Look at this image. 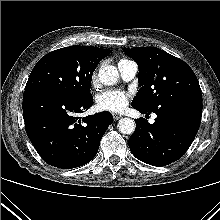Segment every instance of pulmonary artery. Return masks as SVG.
<instances>
[{"label": "pulmonary artery", "mask_w": 220, "mask_h": 220, "mask_svg": "<svg viewBox=\"0 0 220 220\" xmlns=\"http://www.w3.org/2000/svg\"><path fill=\"white\" fill-rule=\"evenodd\" d=\"M118 70L123 80H132L138 72V66L134 61L121 60L118 63Z\"/></svg>", "instance_id": "e3ab8cb5"}]
</instances>
